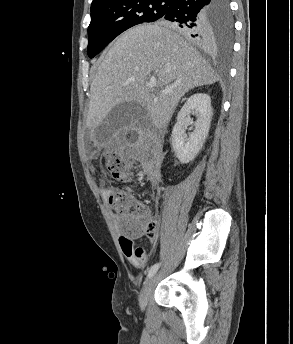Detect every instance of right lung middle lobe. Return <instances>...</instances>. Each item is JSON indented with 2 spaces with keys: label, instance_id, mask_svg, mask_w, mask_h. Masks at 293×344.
Wrapping results in <instances>:
<instances>
[{
  "label": "right lung middle lobe",
  "instance_id": "right-lung-middle-lobe-1",
  "mask_svg": "<svg viewBox=\"0 0 293 344\" xmlns=\"http://www.w3.org/2000/svg\"><path fill=\"white\" fill-rule=\"evenodd\" d=\"M169 0H117L91 9L87 54L93 58L114 38L132 26L162 18ZM214 21L215 44L231 46L232 19L228 0H216Z\"/></svg>",
  "mask_w": 293,
  "mask_h": 344
}]
</instances>
